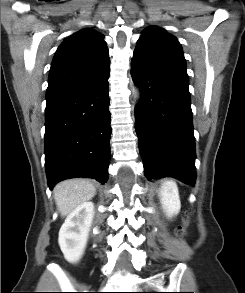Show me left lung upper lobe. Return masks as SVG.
<instances>
[{
    "mask_svg": "<svg viewBox=\"0 0 245 293\" xmlns=\"http://www.w3.org/2000/svg\"><path fill=\"white\" fill-rule=\"evenodd\" d=\"M134 52L187 74L180 43L163 28L147 27L137 41Z\"/></svg>",
    "mask_w": 245,
    "mask_h": 293,
    "instance_id": "1",
    "label": "left lung upper lobe"
}]
</instances>
